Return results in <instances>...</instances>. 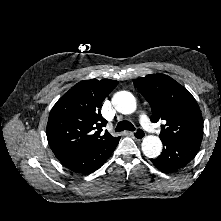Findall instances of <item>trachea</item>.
Masks as SVG:
<instances>
[{
    "instance_id": "3493384b",
    "label": "trachea",
    "mask_w": 221,
    "mask_h": 221,
    "mask_svg": "<svg viewBox=\"0 0 221 221\" xmlns=\"http://www.w3.org/2000/svg\"><path fill=\"white\" fill-rule=\"evenodd\" d=\"M124 130H129V131H134L135 130V127L134 125L129 122V121H120L116 128H115V132H121V131H124Z\"/></svg>"
}]
</instances>
